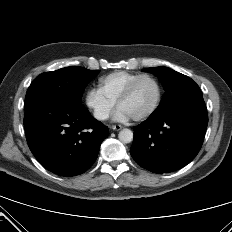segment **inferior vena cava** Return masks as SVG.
Instances as JSON below:
<instances>
[{
    "label": "inferior vena cava",
    "mask_w": 232,
    "mask_h": 232,
    "mask_svg": "<svg viewBox=\"0 0 232 232\" xmlns=\"http://www.w3.org/2000/svg\"><path fill=\"white\" fill-rule=\"evenodd\" d=\"M94 117L98 120H105L109 117V114L107 112H103V111H95Z\"/></svg>",
    "instance_id": "1"
}]
</instances>
